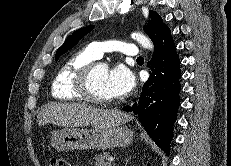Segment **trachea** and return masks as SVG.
Instances as JSON below:
<instances>
[{"mask_svg":"<svg viewBox=\"0 0 231 166\" xmlns=\"http://www.w3.org/2000/svg\"><path fill=\"white\" fill-rule=\"evenodd\" d=\"M137 61H144V58L140 56L137 58Z\"/></svg>","mask_w":231,"mask_h":166,"instance_id":"1","label":"trachea"}]
</instances>
